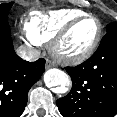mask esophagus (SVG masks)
<instances>
[{
	"instance_id": "1",
	"label": "esophagus",
	"mask_w": 117,
	"mask_h": 117,
	"mask_svg": "<svg viewBox=\"0 0 117 117\" xmlns=\"http://www.w3.org/2000/svg\"><path fill=\"white\" fill-rule=\"evenodd\" d=\"M54 66H55V64H54V62L52 60H50V59L46 60V68L47 69H49L51 67H54Z\"/></svg>"
}]
</instances>
